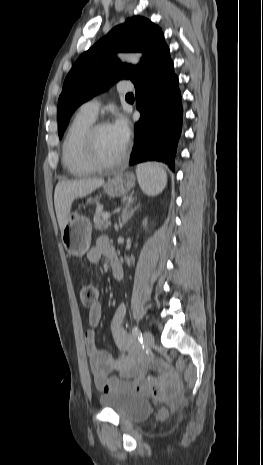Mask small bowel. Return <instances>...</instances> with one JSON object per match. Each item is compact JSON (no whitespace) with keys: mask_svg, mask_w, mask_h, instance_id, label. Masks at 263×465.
<instances>
[{"mask_svg":"<svg viewBox=\"0 0 263 465\" xmlns=\"http://www.w3.org/2000/svg\"><path fill=\"white\" fill-rule=\"evenodd\" d=\"M114 254L108 239L100 237L88 251L87 260L91 264H97L102 257L110 259ZM125 314L126 307L120 303L114 312L111 325L113 337L119 348V353L113 356L106 350L98 349L95 344V329L103 315L101 305L96 303L89 309V329L84 333V344L95 385L104 393L123 388L150 392L158 396L165 386L174 382L173 376L160 368H156L155 376L147 374L149 366L142 361L135 339L123 327ZM115 371L120 375L112 376Z\"/></svg>","mask_w":263,"mask_h":465,"instance_id":"small-bowel-1","label":"small bowel"}]
</instances>
